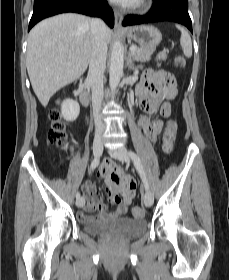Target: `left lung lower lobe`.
<instances>
[{"instance_id": "1", "label": "left lung lower lobe", "mask_w": 229, "mask_h": 280, "mask_svg": "<svg viewBox=\"0 0 229 280\" xmlns=\"http://www.w3.org/2000/svg\"><path fill=\"white\" fill-rule=\"evenodd\" d=\"M172 21L185 25L192 32V22L188 14V0H154L149 14L145 16L129 15L123 26L142 23Z\"/></svg>"}]
</instances>
